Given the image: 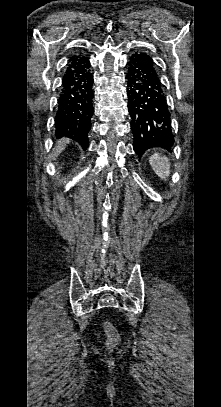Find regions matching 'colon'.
Instances as JSON below:
<instances>
[{
  "instance_id": "colon-1",
  "label": "colon",
  "mask_w": 221,
  "mask_h": 407,
  "mask_svg": "<svg viewBox=\"0 0 221 407\" xmlns=\"http://www.w3.org/2000/svg\"><path fill=\"white\" fill-rule=\"evenodd\" d=\"M103 329L107 335L108 343L111 346L116 345L120 340V335H119L118 331L116 330V328L111 323L104 322Z\"/></svg>"
}]
</instances>
